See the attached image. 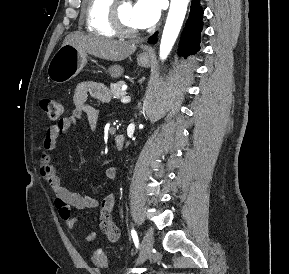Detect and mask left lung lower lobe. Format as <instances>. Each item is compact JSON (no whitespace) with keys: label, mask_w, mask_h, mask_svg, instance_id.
<instances>
[{"label":"left lung lower lobe","mask_w":289,"mask_h":274,"mask_svg":"<svg viewBox=\"0 0 289 274\" xmlns=\"http://www.w3.org/2000/svg\"><path fill=\"white\" fill-rule=\"evenodd\" d=\"M203 12L200 6V0H192L189 18L181 35L179 47L181 55H193L200 50V32L203 28ZM157 34L158 32L151 36L148 43H156Z\"/></svg>","instance_id":"0a47b994"}]
</instances>
